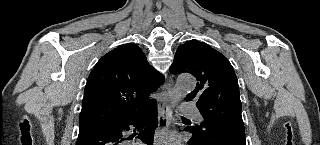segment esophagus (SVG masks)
<instances>
[{
  "mask_svg": "<svg viewBox=\"0 0 320 145\" xmlns=\"http://www.w3.org/2000/svg\"><path fill=\"white\" fill-rule=\"evenodd\" d=\"M172 85L173 80L170 78L166 85V90L163 91L162 97L158 102V126L154 136L155 145H161L170 125L171 106L169 102V89Z\"/></svg>",
  "mask_w": 320,
  "mask_h": 145,
  "instance_id": "esophagus-1",
  "label": "esophagus"
}]
</instances>
